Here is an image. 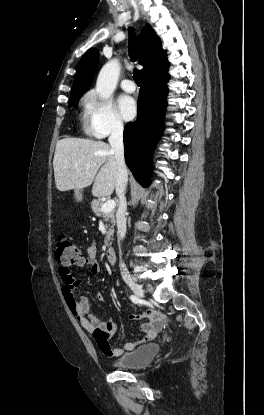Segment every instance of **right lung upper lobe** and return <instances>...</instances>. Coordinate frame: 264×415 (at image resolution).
<instances>
[{
    "label": "right lung upper lobe",
    "mask_w": 264,
    "mask_h": 415,
    "mask_svg": "<svg viewBox=\"0 0 264 415\" xmlns=\"http://www.w3.org/2000/svg\"><path fill=\"white\" fill-rule=\"evenodd\" d=\"M138 42L139 63L144 66L141 70L142 80L167 74L170 64L166 51L162 49L160 38L149 24L145 25ZM97 61L98 52L96 49H89L82 56L71 89V97L83 95L88 90L97 67Z\"/></svg>",
    "instance_id": "1"
}]
</instances>
